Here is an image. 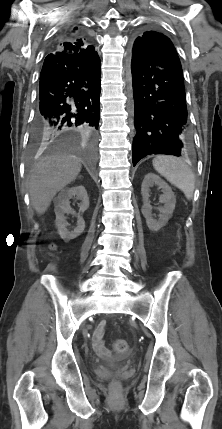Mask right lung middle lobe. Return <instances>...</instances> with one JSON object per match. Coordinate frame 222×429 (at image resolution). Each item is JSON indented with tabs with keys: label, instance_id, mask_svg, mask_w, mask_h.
I'll return each mask as SVG.
<instances>
[{
	"label": "right lung middle lobe",
	"instance_id": "1",
	"mask_svg": "<svg viewBox=\"0 0 222 429\" xmlns=\"http://www.w3.org/2000/svg\"><path fill=\"white\" fill-rule=\"evenodd\" d=\"M47 139L48 136H46L42 131L32 132V140L34 147L38 146L40 143L45 144Z\"/></svg>",
	"mask_w": 222,
	"mask_h": 429
}]
</instances>
